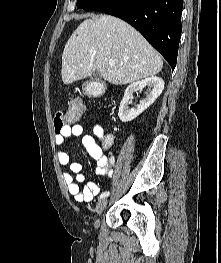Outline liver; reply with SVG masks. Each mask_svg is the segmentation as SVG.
<instances>
[{"mask_svg": "<svg viewBox=\"0 0 221 263\" xmlns=\"http://www.w3.org/2000/svg\"><path fill=\"white\" fill-rule=\"evenodd\" d=\"M115 61L110 65L109 60ZM160 55L125 21L101 15L84 20L68 39L62 54V80L68 85L96 70L104 80L125 85L158 74Z\"/></svg>", "mask_w": 221, "mask_h": 263, "instance_id": "liver-1", "label": "liver"}]
</instances>
